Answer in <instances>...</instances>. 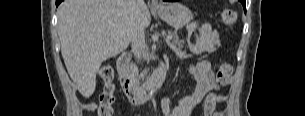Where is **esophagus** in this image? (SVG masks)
Segmentation results:
<instances>
[{
  "label": "esophagus",
  "instance_id": "obj_1",
  "mask_svg": "<svg viewBox=\"0 0 305 116\" xmlns=\"http://www.w3.org/2000/svg\"><path fill=\"white\" fill-rule=\"evenodd\" d=\"M151 7L153 9H159V8H161V4L158 1L153 0L151 3Z\"/></svg>",
  "mask_w": 305,
  "mask_h": 116
}]
</instances>
